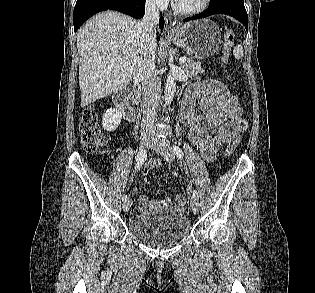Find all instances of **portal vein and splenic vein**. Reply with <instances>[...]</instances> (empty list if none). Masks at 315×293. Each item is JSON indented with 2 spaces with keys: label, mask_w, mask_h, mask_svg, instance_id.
Masks as SVG:
<instances>
[{
  "label": "portal vein and splenic vein",
  "mask_w": 315,
  "mask_h": 293,
  "mask_svg": "<svg viewBox=\"0 0 315 293\" xmlns=\"http://www.w3.org/2000/svg\"><path fill=\"white\" fill-rule=\"evenodd\" d=\"M180 63H185L186 62V58L185 57H181L179 59ZM127 64H124V66H126Z\"/></svg>",
  "instance_id": "1"
}]
</instances>
